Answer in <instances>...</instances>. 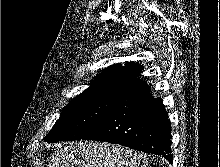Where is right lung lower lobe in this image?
Listing matches in <instances>:
<instances>
[{
	"label": "right lung lower lobe",
	"mask_w": 220,
	"mask_h": 167,
	"mask_svg": "<svg viewBox=\"0 0 220 167\" xmlns=\"http://www.w3.org/2000/svg\"><path fill=\"white\" fill-rule=\"evenodd\" d=\"M171 127L160 99L145 86L116 98L104 118L82 140L128 146L169 162Z\"/></svg>",
	"instance_id": "obj_1"
}]
</instances>
